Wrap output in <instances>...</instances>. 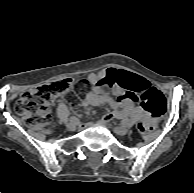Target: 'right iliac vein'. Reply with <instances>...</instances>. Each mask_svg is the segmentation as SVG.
I'll list each match as a JSON object with an SVG mask.
<instances>
[{
  "label": "right iliac vein",
  "instance_id": "obj_1",
  "mask_svg": "<svg viewBox=\"0 0 194 193\" xmlns=\"http://www.w3.org/2000/svg\"><path fill=\"white\" fill-rule=\"evenodd\" d=\"M77 125H78V122H69V123H67L66 127L68 130L74 131V130H76Z\"/></svg>",
  "mask_w": 194,
  "mask_h": 193
}]
</instances>
